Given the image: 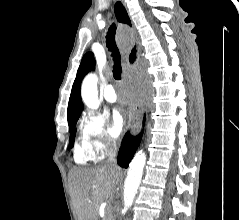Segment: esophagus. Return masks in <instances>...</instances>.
<instances>
[{"instance_id":"esophagus-1","label":"esophagus","mask_w":239,"mask_h":220,"mask_svg":"<svg viewBox=\"0 0 239 220\" xmlns=\"http://www.w3.org/2000/svg\"><path fill=\"white\" fill-rule=\"evenodd\" d=\"M122 0H117L116 4H115V15L117 17V20L120 23H125L128 24V36L129 37H133L134 34H137V29H134V24L130 23V18L127 14V11L125 9V7L122 5V3L120 2ZM134 43L132 44L134 47H136V49L134 47H131L130 50L128 51L127 55H126V59L128 62V69H135V66L137 65V61L140 58L141 55V44L140 42H135V38H132ZM132 76L136 75L135 71L131 72ZM134 88L138 87L137 83L133 84ZM132 101H133V109H134V117L136 118H131L130 121L128 122L127 128L130 129L132 132H138V123L142 122L143 118V113L144 110L140 109V107H142V99H141V94L140 93H133L132 94Z\"/></svg>"}]
</instances>
